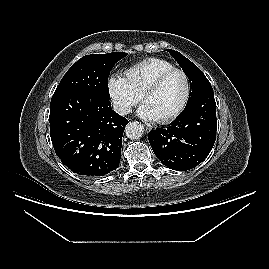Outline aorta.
Masks as SVG:
<instances>
[{
	"mask_svg": "<svg viewBox=\"0 0 269 269\" xmlns=\"http://www.w3.org/2000/svg\"><path fill=\"white\" fill-rule=\"evenodd\" d=\"M125 133L129 139L135 140L142 137L144 129L139 122H130L125 128Z\"/></svg>",
	"mask_w": 269,
	"mask_h": 269,
	"instance_id": "obj_1",
	"label": "aorta"
}]
</instances>
